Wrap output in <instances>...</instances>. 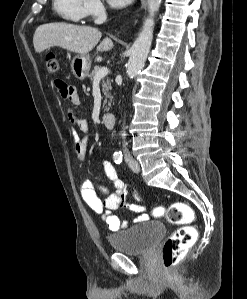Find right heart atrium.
Here are the masks:
<instances>
[{
  "label": "right heart atrium",
  "instance_id": "1",
  "mask_svg": "<svg viewBox=\"0 0 247 299\" xmlns=\"http://www.w3.org/2000/svg\"><path fill=\"white\" fill-rule=\"evenodd\" d=\"M87 15L99 17L103 13V4L101 0H86Z\"/></svg>",
  "mask_w": 247,
  "mask_h": 299
}]
</instances>
